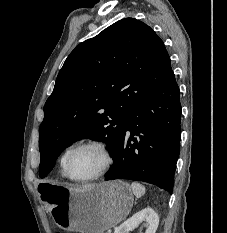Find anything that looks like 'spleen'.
<instances>
[{"mask_svg": "<svg viewBox=\"0 0 227 233\" xmlns=\"http://www.w3.org/2000/svg\"><path fill=\"white\" fill-rule=\"evenodd\" d=\"M131 189H132L133 194L136 197H141L142 195L145 194V187L141 185L140 183L133 182L131 184Z\"/></svg>", "mask_w": 227, "mask_h": 233, "instance_id": "spleen-1", "label": "spleen"}]
</instances>
